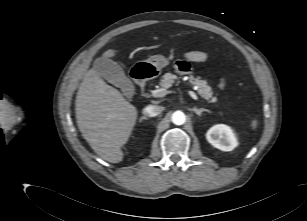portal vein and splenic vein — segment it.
I'll use <instances>...</instances> for the list:
<instances>
[{
    "label": "portal vein and splenic vein",
    "instance_id": "1",
    "mask_svg": "<svg viewBox=\"0 0 307 221\" xmlns=\"http://www.w3.org/2000/svg\"><path fill=\"white\" fill-rule=\"evenodd\" d=\"M166 94H168V91L164 88L161 89H156L152 91V96L154 97H163ZM188 94L194 99V100H198L197 95L193 92V91H188Z\"/></svg>",
    "mask_w": 307,
    "mask_h": 221
}]
</instances>
